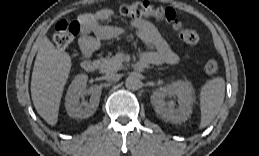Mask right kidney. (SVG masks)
Returning a JSON list of instances; mask_svg holds the SVG:
<instances>
[{"label":"right kidney","mask_w":259,"mask_h":156,"mask_svg":"<svg viewBox=\"0 0 259 156\" xmlns=\"http://www.w3.org/2000/svg\"><path fill=\"white\" fill-rule=\"evenodd\" d=\"M88 77L78 74L69 86L66 95L65 107L70 117L82 119L91 116L97 109L102 90L94 85L86 87ZM90 95L89 102L80 103V98Z\"/></svg>","instance_id":"1"}]
</instances>
